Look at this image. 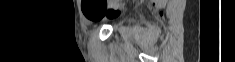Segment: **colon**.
I'll list each match as a JSON object with an SVG mask.
<instances>
[{
    "instance_id": "colon-1",
    "label": "colon",
    "mask_w": 235,
    "mask_h": 62,
    "mask_svg": "<svg viewBox=\"0 0 235 62\" xmlns=\"http://www.w3.org/2000/svg\"><path fill=\"white\" fill-rule=\"evenodd\" d=\"M83 11L88 19L90 20L95 19L100 12V7L98 5V2L96 0H83ZM119 11H120L119 7H114L109 11V16L110 17L116 16L119 13Z\"/></svg>"
}]
</instances>
